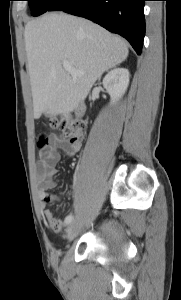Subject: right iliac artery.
<instances>
[{
	"label": "right iliac artery",
	"instance_id": "1",
	"mask_svg": "<svg viewBox=\"0 0 181 300\" xmlns=\"http://www.w3.org/2000/svg\"><path fill=\"white\" fill-rule=\"evenodd\" d=\"M72 219H73V216L71 214L68 215L64 220L65 224L67 225V224L71 223Z\"/></svg>",
	"mask_w": 181,
	"mask_h": 300
}]
</instances>
